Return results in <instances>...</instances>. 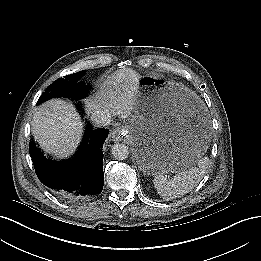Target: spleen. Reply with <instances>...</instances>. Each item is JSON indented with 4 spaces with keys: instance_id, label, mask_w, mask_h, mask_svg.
<instances>
[{
    "instance_id": "spleen-1",
    "label": "spleen",
    "mask_w": 261,
    "mask_h": 261,
    "mask_svg": "<svg viewBox=\"0 0 261 261\" xmlns=\"http://www.w3.org/2000/svg\"><path fill=\"white\" fill-rule=\"evenodd\" d=\"M209 158L204 157L198 160L197 167H191L167 179L162 174L154 178V187L157 193L166 200L183 196L194 189L204 176L208 167Z\"/></svg>"
}]
</instances>
